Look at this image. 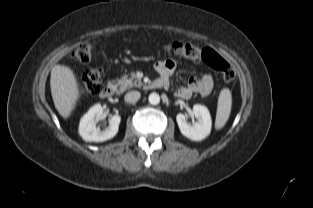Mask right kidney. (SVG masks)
<instances>
[{
  "label": "right kidney",
  "instance_id": "obj_1",
  "mask_svg": "<svg viewBox=\"0 0 313 208\" xmlns=\"http://www.w3.org/2000/svg\"><path fill=\"white\" fill-rule=\"evenodd\" d=\"M103 115V108L96 104L81 118L79 124V134L86 142H103L113 138L119 128L121 117L114 115L109 120V126L105 130L96 127V123Z\"/></svg>",
  "mask_w": 313,
  "mask_h": 208
}]
</instances>
